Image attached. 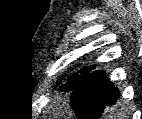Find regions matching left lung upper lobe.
<instances>
[{
	"instance_id": "obj_1",
	"label": "left lung upper lobe",
	"mask_w": 142,
	"mask_h": 119,
	"mask_svg": "<svg viewBox=\"0 0 142 119\" xmlns=\"http://www.w3.org/2000/svg\"><path fill=\"white\" fill-rule=\"evenodd\" d=\"M94 67H87L79 71V74H74L72 75L69 79L68 82L63 84L60 87V90L63 92H69L73 91L77 85L81 82V80L86 76V74L91 71Z\"/></svg>"
}]
</instances>
